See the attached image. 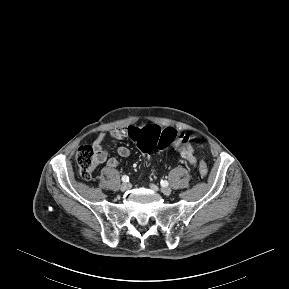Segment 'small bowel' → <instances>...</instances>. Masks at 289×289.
<instances>
[{
    "label": "small bowel",
    "instance_id": "1",
    "mask_svg": "<svg viewBox=\"0 0 289 289\" xmlns=\"http://www.w3.org/2000/svg\"><path fill=\"white\" fill-rule=\"evenodd\" d=\"M111 137L117 140H123L130 136L129 128H118L110 132ZM106 137V133L102 132L94 141V148L100 154V163L105 162L109 167H117L118 160L115 158H108L106 151L102 149V142ZM175 150L180 154V156L190 165H195L197 162L194 147L191 143L190 137L186 135H180L179 138L174 142ZM117 154L122 158H127L130 156V149L127 146H119L117 148Z\"/></svg>",
    "mask_w": 289,
    "mask_h": 289
}]
</instances>
